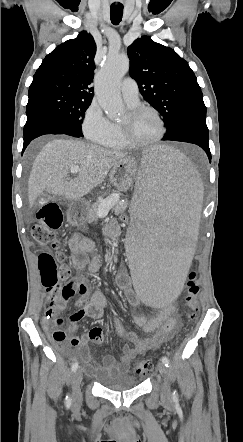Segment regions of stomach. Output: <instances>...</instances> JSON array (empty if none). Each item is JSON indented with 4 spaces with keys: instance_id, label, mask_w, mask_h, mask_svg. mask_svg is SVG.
Returning a JSON list of instances; mask_svg holds the SVG:
<instances>
[{
    "instance_id": "0dacf381",
    "label": "stomach",
    "mask_w": 243,
    "mask_h": 442,
    "mask_svg": "<svg viewBox=\"0 0 243 442\" xmlns=\"http://www.w3.org/2000/svg\"><path fill=\"white\" fill-rule=\"evenodd\" d=\"M137 163L133 158L126 157L117 162L110 171V182L119 191H127L137 175ZM87 219L86 213L80 209L77 203L69 206L67 221L74 226H82Z\"/></svg>"
}]
</instances>
